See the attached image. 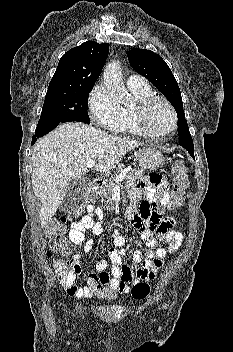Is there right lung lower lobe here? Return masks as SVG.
I'll return each instance as SVG.
<instances>
[{
  "instance_id": "98d812e1",
  "label": "right lung lower lobe",
  "mask_w": 233,
  "mask_h": 352,
  "mask_svg": "<svg viewBox=\"0 0 233 352\" xmlns=\"http://www.w3.org/2000/svg\"><path fill=\"white\" fill-rule=\"evenodd\" d=\"M73 121H81V122H85V123H89V121H85V120H73ZM58 124L52 125L50 127L41 129V130H36L35 131V135H33L32 137V145L36 142V140L42 136H44L45 134L49 133L50 131H52L55 127H57Z\"/></svg>"
}]
</instances>
